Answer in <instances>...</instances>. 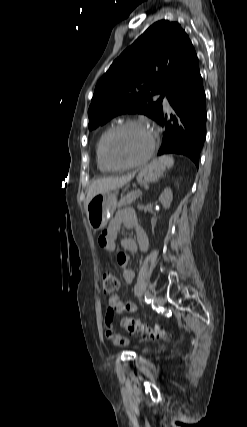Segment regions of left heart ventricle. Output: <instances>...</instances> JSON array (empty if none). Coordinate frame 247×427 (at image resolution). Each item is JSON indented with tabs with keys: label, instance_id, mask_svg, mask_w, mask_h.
<instances>
[{
	"label": "left heart ventricle",
	"instance_id": "obj_1",
	"mask_svg": "<svg viewBox=\"0 0 247 427\" xmlns=\"http://www.w3.org/2000/svg\"><path fill=\"white\" fill-rule=\"evenodd\" d=\"M151 143L150 131L141 127H127L112 139L110 153L117 163H131L141 159L148 152Z\"/></svg>",
	"mask_w": 247,
	"mask_h": 427
}]
</instances>
